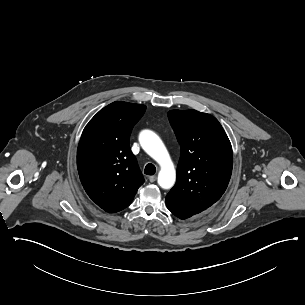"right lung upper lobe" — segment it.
Instances as JSON below:
<instances>
[{"instance_id":"obj_1","label":"right lung upper lobe","mask_w":305,"mask_h":305,"mask_svg":"<svg viewBox=\"0 0 305 305\" xmlns=\"http://www.w3.org/2000/svg\"><path fill=\"white\" fill-rule=\"evenodd\" d=\"M145 110V105L116 101L83 130L77 150L80 180L89 197L107 212L126 208L144 182L129 138Z\"/></svg>"}]
</instances>
